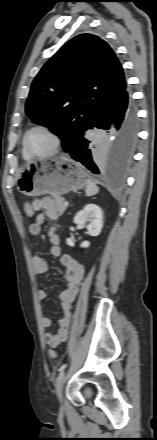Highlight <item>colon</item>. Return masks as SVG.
I'll list each match as a JSON object with an SVG mask.
<instances>
[{
  "mask_svg": "<svg viewBox=\"0 0 157 440\" xmlns=\"http://www.w3.org/2000/svg\"><path fill=\"white\" fill-rule=\"evenodd\" d=\"M23 211L28 217H32L34 215L33 208L28 202H24ZM48 356L50 359L53 360L57 357V352L54 349H50L48 351Z\"/></svg>",
  "mask_w": 157,
  "mask_h": 440,
  "instance_id": "5ec220e1",
  "label": "colon"
}]
</instances>
